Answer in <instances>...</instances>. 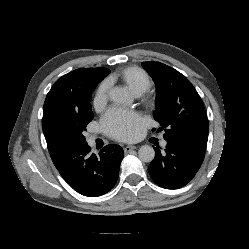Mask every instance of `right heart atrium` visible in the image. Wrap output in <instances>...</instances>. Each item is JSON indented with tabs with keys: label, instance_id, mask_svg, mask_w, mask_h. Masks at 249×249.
Segmentation results:
<instances>
[{
	"label": "right heart atrium",
	"instance_id": "1",
	"mask_svg": "<svg viewBox=\"0 0 249 249\" xmlns=\"http://www.w3.org/2000/svg\"><path fill=\"white\" fill-rule=\"evenodd\" d=\"M110 89L111 82L109 80H104L99 84L94 98L96 107H102L107 102Z\"/></svg>",
	"mask_w": 249,
	"mask_h": 249
}]
</instances>
